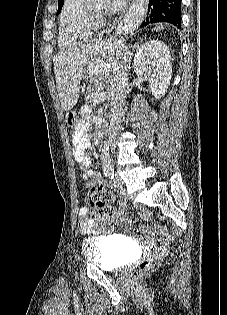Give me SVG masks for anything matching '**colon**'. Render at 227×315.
<instances>
[{"label":"colon","mask_w":227,"mask_h":315,"mask_svg":"<svg viewBox=\"0 0 227 315\" xmlns=\"http://www.w3.org/2000/svg\"><path fill=\"white\" fill-rule=\"evenodd\" d=\"M66 121L70 127L77 124V114L69 111L66 114ZM89 203L94 210L95 217L99 219L102 226H109L112 219L113 207L111 205V193L102 187H93L88 195ZM152 263L149 259L141 261L133 269V278H140L151 269Z\"/></svg>","instance_id":"5ec220e1"}]
</instances>
